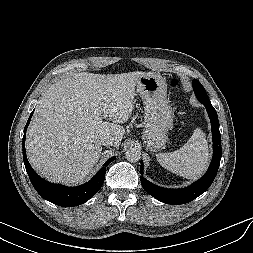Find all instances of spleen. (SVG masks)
Instances as JSON below:
<instances>
[{
    "label": "spleen",
    "instance_id": "3e777b00",
    "mask_svg": "<svg viewBox=\"0 0 253 253\" xmlns=\"http://www.w3.org/2000/svg\"><path fill=\"white\" fill-rule=\"evenodd\" d=\"M157 160L162 167L184 178L195 179L207 168L209 147L205 134L196 128L180 149L170 153H159Z\"/></svg>",
    "mask_w": 253,
    "mask_h": 253
}]
</instances>
